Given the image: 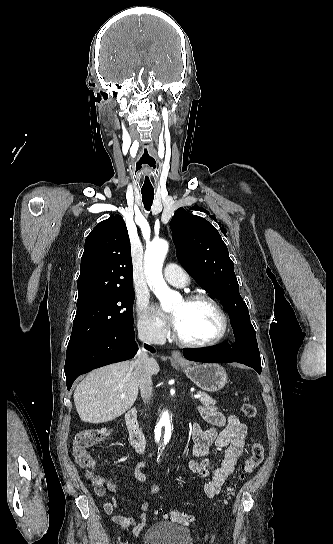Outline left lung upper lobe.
Wrapping results in <instances>:
<instances>
[{
    "label": "left lung upper lobe",
    "instance_id": "1",
    "mask_svg": "<svg viewBox=\"0 0 333 544\" xmlns=\"http://www.w3.org/2000/svg\"><path fill=\"white\" fill-rule=\"evenodd\" d=\"M177 257L195 281L214 297H221L233 322L250 320L239 294L234 265L219 232L202 217L178 209L171 222Z\"/></svg>",
    "mask_w": 333,
    "mask_h": 544
}]
</instances>
